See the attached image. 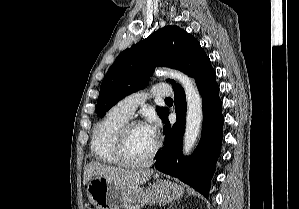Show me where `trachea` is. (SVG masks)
Segmentation results:
<instances>
[{
	"instance_id": "3493384b",
	"label": "trachea",
	"mask_w": 299,
	"mask_h": 209,
	"mask_svg": "<svg viewBox=\"0 0 299 209\" xmlns=\"http://www.w3.org/2000/svg\"><path fill=\"white\" fill-rule=\"evenodd\" d=\"M165 101H173L172 98H166Z\"/></svg>"
}]
</instances>
